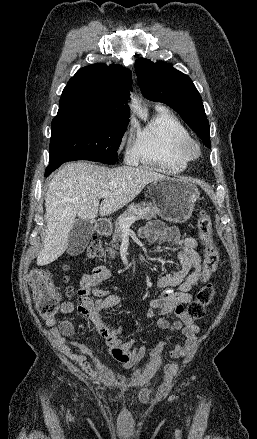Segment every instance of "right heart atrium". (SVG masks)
<instances>
[{
    "label": "right heart atrium",
    "mask_w": 257,
    "mask_h": 439,
    "mask_svg": "<svg viewBox=\"0 0 257 439\" xmlns=\"http://www.w3.org/2000/svg\"><path fill=\"white\" fill-rule=\"evenodd\" d=\"M136 128L133 122H131L123 137L124 144V158L128 162H134L137 156L136 152Z\"/></svg>",
    "instance_id": "right-heart-atrium-1"
}]
</instances>
